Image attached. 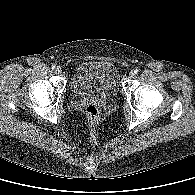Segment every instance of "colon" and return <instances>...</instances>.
<instances>
[{"label":"colon","instance_id":"1","mask_svg":"<svg viewBox=\"0 0 195 195\" xmlns=\"http://www.w3.org/2000/svg\"><path fill=\"white\" fill-rule=\"evenodd\" d=\"M86 116L91 124L98 123L100 119V110L95 104H88L86 106Z\"/></svg>","mask_w":195,"mask_h":195}]
</instances>
